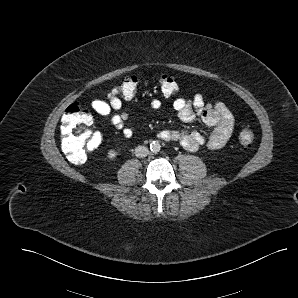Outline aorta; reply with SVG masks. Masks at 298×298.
<instances>
[{"label": "aorta", "mask_w": 298, "mask_h": 298, "mask_svg": "<svg viewBox=\"0 0 298 298\" xmlns=\"http://www.w3.org/2000/svg\"><path fill=\"white\" fill-rule=\"evenodd\" d=\"M150 150L153 153H158L161 150V144L158 141H152L150 144Z\"/></svg>", "instance_id": "1"}]
</instances>
